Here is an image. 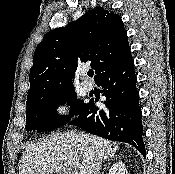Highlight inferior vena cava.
<instances>
[{
  "label": "inferior vena cava",
  "mask_w": 175,
  "mask_h": 174,
  "mask_svg": "<svg viewBox=\"0 0 175 174\" xmlns=\"http://www.w3.org/2000/svg\"><path fill=\"white\" fill-rule=\"evenodd\" d=\"M101 169V159H96L95 163L92 166L90 174H100Z\"/></svg>",
  "instance_id": "1"
}]
</instances>
